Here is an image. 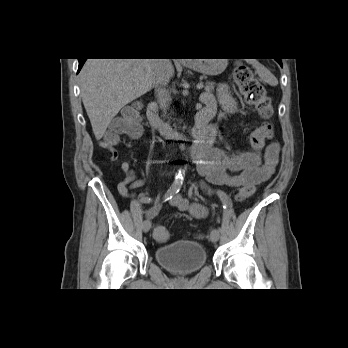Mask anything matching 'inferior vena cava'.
Instances as JSON below:
<instances>
[{"instance_id":"602c4592","label":"inferior vena cava","mask_w":348,"mask_h":348,"mask_svg":"<svg viewBox=\"0 0 348 348\" xmlns=\"http://www.w3.org/2000/svg\"><path fill=\"white\" fill-rule=\"evenodd\" d=\"M154 88L160 109L166 114L171 96L167 90L170 76L168 73L169 59H153Z\"/></svg>"}]
</instances>
